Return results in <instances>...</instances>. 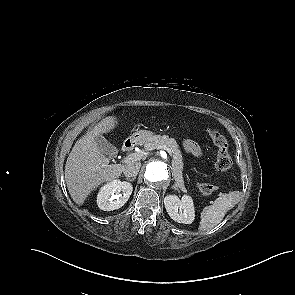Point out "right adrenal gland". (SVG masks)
<instances>
[{"instance_id": "right-adrenal-gland-1", "label": "right adrenal gland", "mask_w": 295, "mask_h": 295, "mask_svg": "<svg viewBox=\"0 0 295 295\" xmlns=\"http://www.w3.org/2000/svg\"><path fill=\"white\" fill-rule=\"evenodd\" d=\"M126 180L133 182L135 180V177H133V178H126Z\"/></svg>"}]
</instances>
